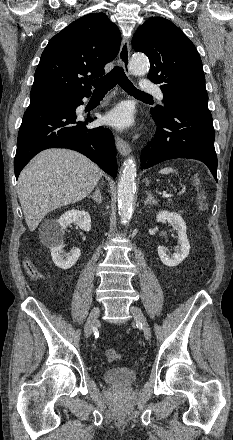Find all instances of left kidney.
I'll return each mask as SVG.
<instances>
[{"instance_id": "obj_1", "label": "left kidney", "mask_w": 233, "mask_h": 440, "mask_svg": "<svg viewBox=\"0 0 233 440\" xmlns=\"http://www.w3.org/2000/svg\"><path fill=\"white\" fill-rule=\"evenodd\" d=\"M167 220L178 234V246L176 253L169 255L163 246L158 247V255L163 264L168 267L179 265L189 255L190 244L186 234V223L182 217L175 212L161 211L156 216V221L161 222Z\"/></svg>"}]
</instances>
